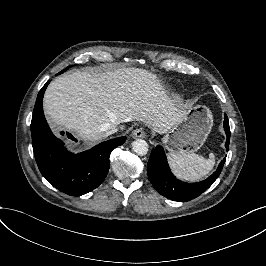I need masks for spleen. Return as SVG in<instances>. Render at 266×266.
Returning a JSON list of instances; mask_svg holds the SVG:
<instances>
[{
	"instance_id": "1",
	"label": "spleen",
	"mask_w": 266,
	"mask_h": 266,
	"mask_svg": "<svg viewBox=\"0 0 266 266\" xmlns=\"http://www.w3.org/2000/svg\"><path fill=\"white\" fill-rule=\"evenodd\" d=\"M169 165L177 178L190 182L199 180L213 169L215 165V155L209 154V159L195 154L168 153Z\"/></svg>"
}]
</instances>
